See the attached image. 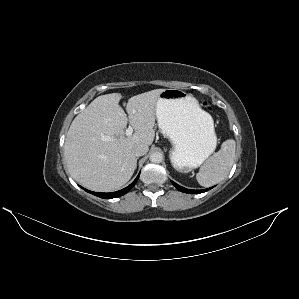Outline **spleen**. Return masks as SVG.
Masks as SVG:
<instances>
[{
	"label": "spleen",
	"instance_id": "1",
	"mask_svg": "<svg viewBox=\"0 0 299 299\" xmlns=\"http://www.w3.org/2000/svg\"><path fill=\"white\" fill-rule=\"evenodd\" d=\"M236 142L224 141L221 149L200 167L196 179L201 186L210 187L223 181L229 174L235 159Z\"/></svg>",
	"mask_w": 299,
	"mask_h": 299
}]
</instances>
